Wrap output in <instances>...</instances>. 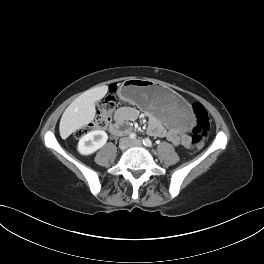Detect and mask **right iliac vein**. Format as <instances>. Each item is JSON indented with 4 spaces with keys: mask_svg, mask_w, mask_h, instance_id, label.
Segmentation results:
<instances>
[{
    "mask_svg": "<svg viewBox=\"0 0 264 264\" xmlns=\"http://www.w3.org/2000/svg\"><path fill=\"white\" fill-rule=\"evenodd\" d=\"M130 142L128 138H123L119 143V148L125 150L129 146Z\"/></svg>",
    "mask_w": 264,
    "mask_h": 264,
    "instance_id": "right-iliac-vein-1",
    "label": "right iliac vein"
}]
</instances>
